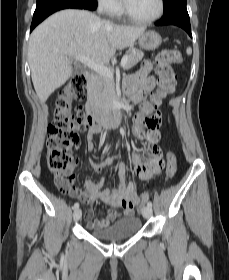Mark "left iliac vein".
<instances>
[{"mask_svg":"<svg viewBox=\"0 0 229 280\" xmlns=\"http://www.w3.org/2000/svg\"><path fill=\"white\" fill-rule=\"evenodd\" d=\"M142 214L144 216V218H150L152 215V208L149 206H146L142 209Z\"/></svg>","mask_w":229,"mask_h":280,"instance_id":"4c4485c4","label":"left iliac vein"}]
</instances>
